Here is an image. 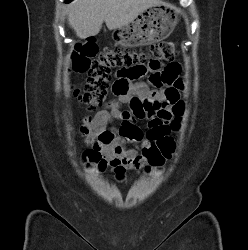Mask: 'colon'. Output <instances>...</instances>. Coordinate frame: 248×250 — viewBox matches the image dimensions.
I'll return each mask as SVG.
<instances>
[{"label": "colon", "mask_w": 248, "mask_h": 250, "mask_svg": "<svg viewBox=\"0 0 248 250\" xmlns=\"http://www.w3.org/2000/svg\"><path fill=\"white\" fill-rule=\"evenodd\" d=\"M177 55L176 44L171 41H161L152 44L147 52L130 50L120 47L105 48L99 51L93 41L78 44L72 54V70L76 73H88V81L76 95L88 110H94L106 100L111 84V70L121 68L123 75L129 79H136L140 75L139 67L148 64L154 73L150 76L151 84L164 91L165 99L180 112L182 105L179 94L173 83L175 77L168 71H159L161 62L172 60ZM132 110L137 118H143L151 113L158 103L132 99ZM154 156L151 165H160L169 159L173 153V138L170 133H163L154 138ZM85 156L91 161L93 151L87 150Z\"/></svg>", "instance_id": "5ec220e1"}]
</instances>
